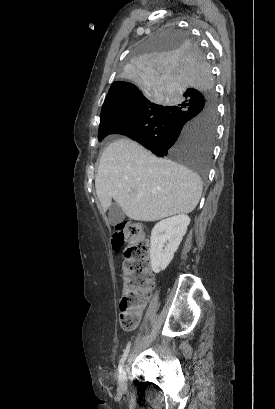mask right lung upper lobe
I'll use <instances>...</instances> for the list:
<instances>
[{
    "instance_id": "1",
    "label": "right lung upper lobe",
    "mask_w": 275,
    "mask_h": 409,
    "mask_svg": "<svg viewBox=\"0 0 275 409\" xmlns=\"http://www.w3.org/2000/svg\"><path fill=\"white\" fill-rule=\"evenodd\" d=\"M143 93V90H137L136 85H126L123 81L114 82L105 98L101 112L111 109L124 99L141 96Z\"/></svg>"
}]
</instances>
